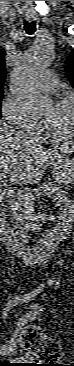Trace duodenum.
<instances>
[{
    "instance_id": "1",
    "label": "duodenum",
    "mask_w": 74,
    "mask_h": 366,
    "mask_svg": "<svg viewBox=\"0 0 74 366\" xmlns=\"http://www.w3.org/2000/svg\"><path fill=\"white\" fill-rule=\"evenodd\" d=\"M60 234L59 233H48L41 240L38 245V251L41 253H47L52 250L55 244L59 241ZM2 240L7 243L11 248L15 249L20 253V255L25 258L27 261L32 259L33 251L19 243L16 239H14L13 234L9 226H4L2 229Z\"/></svg>"
}]
</instances>
